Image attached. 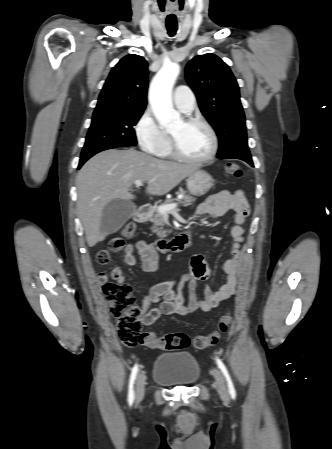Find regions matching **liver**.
<instances>
[{
    "instance_id": "1",
    "label": "liver",
    "mask_w": 332,
    "mask_h": 449,
    "mask_svg": "<svg viewBox=\"0 0 332 449\" xmlns=\"http://www.w3.org/2000/svg\"><path fill=\"white\" fill-rule=\"evenodd\" d=\"M196 170L195 165L159 160L135 149H110L92 157L76 179L77 209L88 246L107 235L100 230L104 207L114 199H134L129 188L136 180L148 183V194L161 196Z\"/></svg>"
}]
</instances>
